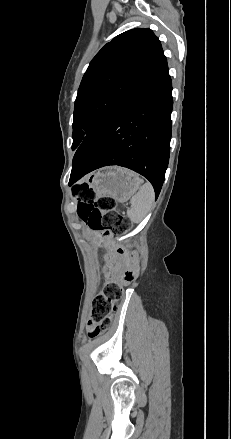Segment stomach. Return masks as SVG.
<instances>
[{"label":"stomach","mask_w":231,"mask_h":439,"mask_svg":"<svg viewBox=\"0 0 231 439\" xmlns=\"http://www.w3.org/2000/svg\"><path fill=\"white\" fill-rule=\"evenodd\" d=\"M90 186L103 197L126 202L140 187L141 180L134 172L121 167H105L90 179Z\"/></svg>","instance_id":"obj_1"}]
</instances>
